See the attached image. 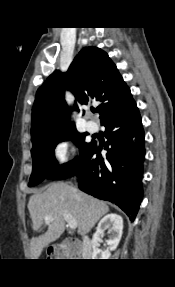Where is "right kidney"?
<instances>
[{"instance_id":"obj_1","label":"right kidney","mask_w":175,"mask_h":287,"mask_svg":"<svg viewBox=\"0 0 175 287\" xmlns=\"http://www.w3.org/2000/svg\"><path fill=\"white\" fill-rule=\"evenodd\" d=\"M109 229V237L106 240L108 248L104 251L97 248L98 240L101 235L104 234L105 230ZM123 232V219L118 214H108L104 216L93 235L91 244L93 248L92 258L93 259H109L111 251L115 250L120 242Z\"/></svg>"}]
</instances>
